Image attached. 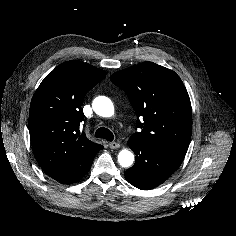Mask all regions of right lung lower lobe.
Listing matches in <instances>:
<instances>
[{"label":"right lung lower lobe","mask_w":236,"mask_h":236,"mask_svg":"<svg viewBox=\"0 0 236 236\" xmlns=\"http://www.w3.org/2000/svg\"><path fill=\"white\" fill-rule=\"evenodd\" d=\"M94 157L48 172V176L62 184H71L82 178L90 169Z\"/></svg>","instance_id":"98d812e1"}]
</instances>
